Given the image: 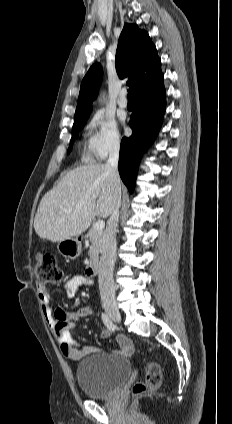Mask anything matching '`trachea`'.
<instances>
[{
	"label": "trachea",
	"instance_id": "1",
	"mask_svg": "<svg viewBox=\"0 0 232 424\" xmlns=\"http://www.w3.org/2000/svg\"><path fill=\"white\" fill-rule=\"evenodd\" d=\"M134 92H135V88L134 87H131L128 90V100H134Z\"/></svg>",
	"mask_w": 232,
	"mask_h": 424
}]
</instances>
